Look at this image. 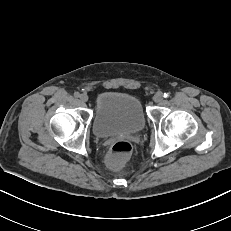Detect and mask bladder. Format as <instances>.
I'll return each instance as SVG.
<instances>
[{"label": "bladder", "instance_id": "bladder-1", "mask_svg": "<svg viewBox=\"0 0 231 231\" xmlns=\"http://www.w3.org/2000/svg\"><path fill=\"white\" fill-rule=\"evenodd\" d=\"M146 117L140 101L129 94L103 92L94 103L92 130L98 137L140 131Z\"/></svg>", "mask_w": 231, "mask_h": 231}]
</instances>
